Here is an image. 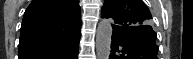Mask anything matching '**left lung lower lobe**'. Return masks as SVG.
<instances>
[{
    "mask_svg": "<svg viewBox=\"0 0 193 59\" xmlns=\"http://www.w3.org/2000/svg\"><path fill=\"white\" fill-rule=\"evenodd\" d=\"M113 35L109 59H158L156 33L150 26L138 30L112 25Z\"/></svg>",
    "mask_w": 193,
    "mask_h": 59,
    "instance_id": "0a47b994",
    "label": "left lung lower lobe"
}]
</instances>
